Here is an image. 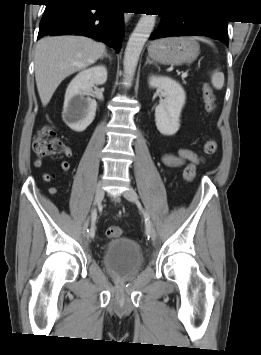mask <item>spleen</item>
I'll return each mask as SVG.
<instances>
[{"label": "spleen", "instance_id": "1", "mask_svg": "<svg viewBox=\"0 0 261 355\" xmlns=\"http://www.w3.org/2000/svg\"><path fill=\"white\" fill-rule=\"evenodd\" d=\"M191 39L200 40V41L206 42L210 45H213L210 41H208L202 37L194 36V37H191ZM211 83L215 89H218V90L222 89V87L224 85V74L222 72H220L219 70H215L211 75Z\"/></svg>", "mask_w": 261, "mask_h": 355}]
</instances>
